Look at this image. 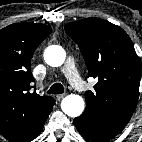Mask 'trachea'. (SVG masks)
<instances>
[{
  "instance_id": "obj_1",
  "label": "trachea",
  "mask_w": 142,
  "mask_h": 142,
  "mask_svg": "<svg viewBox=\"0 0 142 142\" xmlns=\"http://www.w3.org/2000/svg\"><path fill=\"white\" fill-rule=\"evenodd\" d=\"M49 94H62L64 93V88L61 83H55L53 84L50 89L48 90Z\"/></svg>"
}]
</instances>
